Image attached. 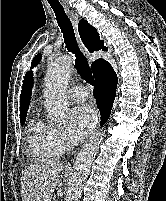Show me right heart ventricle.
<instances>
[{
	"label": "right heart ventricle",
	"instance_id": "right-heart-ventricle-1",
	"mask_svg": "<svg viewBox=\"0 0 166 201\" xmlns=\"http://www.w3.org/2000/svg\"><path fill=\"white\" fill-rule=\"evenodd\" d=\"M56 127L40 117L31 120L28 126V152L37 162L51 161L62 153L55 140Z\"/></svg>",
	"mask_w": 166,
	"mask_h": 201
}]
</instances>
